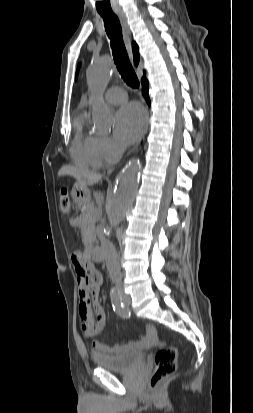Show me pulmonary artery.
<instances>
[{"mask_svg":"<svg viewBox=\"0 0 253 413\" xmlns=\"http://www.w3.org/2000/svg\"><path fill=\"white\" fill-rule=\"evenodd\" d=\"M105 100L111 104H121L127 100V95L123 89L112 87L106 92Z\"/></svg>","mask_w":253,"mask_h":413,"instance_id":"e3ab8cb5","label":"pulmonary artery"}]
</instances>
